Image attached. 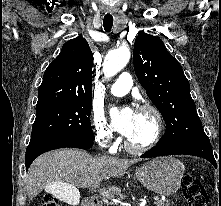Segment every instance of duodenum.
<instances>
[{
  "label": "duodenum",
  "mask_w": 221,
  "mask_h": 206,
  "mask_svg": "<svg viewBox=\"0 0 221 206\" xmlns=\"http://www.w3.org/2000/svg\"><path fill=\"white\" fill-rule=\"evenodd\" d=\"M83 206H102V201L97 196H89Z\"/></svg>",
  "instance_id": "obj_1"
}]
</instances>
